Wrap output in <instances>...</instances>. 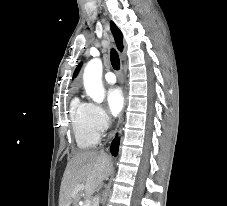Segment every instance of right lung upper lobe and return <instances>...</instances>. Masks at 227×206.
<instances>
[{"label": "right lung upper lobe", "mask_w": 227, "mask_h": 206, "mask_svg": "<svg viewBox=\"0 0 227 206\" xmlns=\"http://www.w3.org/2000/svg\"><path fill=\"white\" fill-rule=\"evenodd\" d=\"M110 27H111V32H112V34L114 36L117 48H118L119 51H122V49H123V42H122L123 36H122V33L113 22L110 23ZM80 66H81V64H79V66L75 70L74 76H76Z\"/></svg>", "instance_id": "cb5924a9"}]
</instances>
